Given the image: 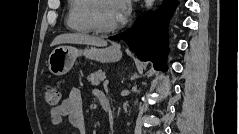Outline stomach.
<instances>
[{
	"label": "stomach",
	"mask_w": 239,
	"mask_h": 134,
	"mask_svg": "<svg viewBox=\"0 0 239 134\" xmlns=\"http://www.w3.org/2000/svg\"><path fill=\"white\" fill-rule=\"evenodd\" d=\"M81 55L88 59L105 63L119 61L122 57V52L115 46L107 48L91 47L83 50L73 46H58L49 55V71L56 76L64 75L72 68L77 57Z\"/></svg>",
	"instance_id": "1"
}]
</instances>
